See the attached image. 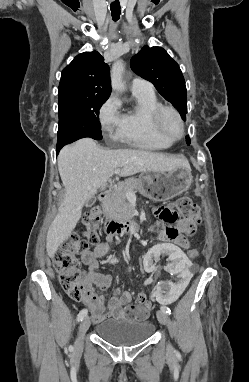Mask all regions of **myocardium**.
Wrapping results in <instances>:
<instances>
[{
    "label": "myocardium",
    "instance_id": "1",
    "mask_svg": "<svg viewBox=\"0 0 249 382\" xmlns=\"http://www.w3.org/2000/svg\"><path fill=\"white\" fill-rule=\"evenodd\" d=\"M170 114L176 118V120L179 123V133L177 135L171 134L166 126H165V117ZM153 123L156 128V130L166 139L170 141H177L181 139L185 134V123L184 120L179 113V111L172 107L167 105H161L159 106L154 112H153Z\"/></svg>",
    "mask_w": 249,
    "mask_h": 382
}]
</instances>
